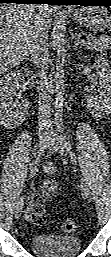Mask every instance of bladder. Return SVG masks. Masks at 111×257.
Returning a JSON list of instances; mask_svg holds the SVG:
<instances>
[{
  "mask_svg": "<svg viewBox=\"0 0 111 257\" xmlns=\"http://www.w3.org/2000/svg\"><path fill=\"white\" fill-rule=\"evenodd\" d=\"M30 249L38 257H74L81 250V239L74 235L36 234Z\"/></svg>",
  "mask_w": 111,
  "mask_h": 257,
  "instance_id": "31cf9c89",
  "label": "bladder"
}]
</instances>
